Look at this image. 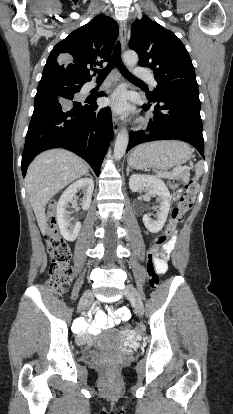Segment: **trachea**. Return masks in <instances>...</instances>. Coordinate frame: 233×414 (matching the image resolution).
Segmentation results:
<instances>
[{
  "mask_svg": "<svg viewBox=\"0 0 233 414\" xmlns=\"http://www.w3.org/2000/svg\"><path fill=\"white\" fill-rule=\"evenodd\" d=\"M117 67L121 74L127 78L130 81L143 83L140 79L133 76L128 69L125 67V65L122 62L121 59V45L120 42H117L114 52L112 54V57L110 61L108 62V65L104 69L96 70L98 73L97 79H105L108 74L111 72L113 68Z\"/></svg>",
  "mask_w": 233,
  "mask_h": 414,
  "instance_id": "1",
  "label": "trachea"
}]
</instances>
